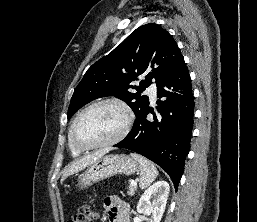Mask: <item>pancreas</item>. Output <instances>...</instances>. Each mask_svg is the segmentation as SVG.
<instances>
[{
    "mask_svg": "<svg viewBox=\"0 0 257 222\" xmlns=\"http://www.w3.org/2000/svg\"><path fill=\"white\" fill-rule=\"evenodd\" d=\"M137 190V186L129 185V194L134 195L135 191Z\"/></svg>",
    "mask_w": 257,
    "mask_h": 222,
    "instance_id": "1",
    "label": "pancreas"
}]
</instances>
